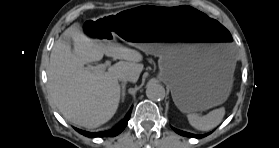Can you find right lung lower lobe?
<instances>
[{
  "label": "right lung lower lobe",
  "mask_w": 279,
  "mask_h": 148,
  "mask_svg": "<svg viewBox=\"0 0 279 148\" xmlns=\"http://www.w3.org/2000/svg\"><path fill=\"white\" fill-rule=\"evenodd\" d=\"M131 112L125 117V119L115 128L108 130V131H102V132H88V131H83V130H79L76 129L78 132H80L81 134L87 136V137H114L116 135H118L119 133H121L124 128L126 127L128 120L130 118Z\"/></svg>",
  "instance_id": "obj_1"
}]
</instances>
